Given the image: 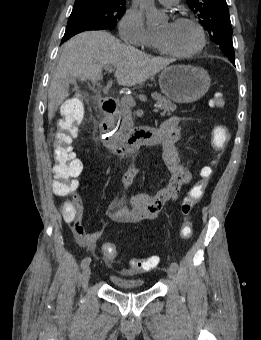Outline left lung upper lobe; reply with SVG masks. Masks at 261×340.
I'll list each match as a JSON object with an SVG mask.
<instances>
[{"label":"left lung upper lobe","mask_w":261,"mask_h":340,"mask_svg":"<svg viewBox=\"0 0 261 340\" xmlns=\"http://www.w3.org/2000/svg\"><path fill=\"white\" fill-rule=\"evenodd\" d=\"M189 8L197 15L210 38L221 51L234 60L232 27L226 0H186Z\"/></svg>","instance_id":"5c2ea615"}]
</instances>
